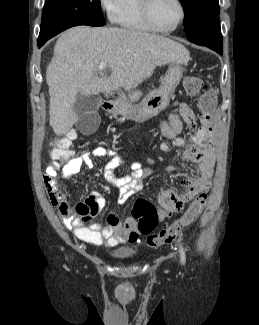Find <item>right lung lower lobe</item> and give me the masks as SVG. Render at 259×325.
<instances>
[{
	"instance_id": "right-lung-lower-lobe-1",
	"label": "right lung lower lobe",
	"mask_w": 259,
	"mask_h": 325,
	"mask_svg": "<svg viewBox=\"0 0 259 325\" xmlns=\"http://www.w3.org/2000/svg\"><path fill=\"white\" fill-rule=\"evenodd\" d=\"M47 41V40H46ZM46 41H38V47L40 48L42 45L45 44Z\"/></svg>"
}]
</instances>
